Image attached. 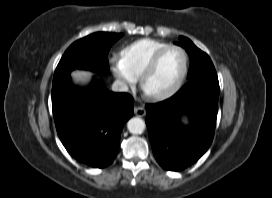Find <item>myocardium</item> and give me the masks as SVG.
Listing matches in <instances>:
<instances>
[{
	"instance_id": "1",
	"label": "myocardium",
	"mask_w": 272,
	"mask_h": 198,
	"mask_svg": "<svg viewBox=\"0 0 272 198\" xmlns=\"http://www.w3.org/2000/svg\"><path fill=\"white\" fill-rule=\"evenodd\" d=\"M171 49H177L183 54L184 65H183V71H182V74H181L179 80L171 89H169L165 92L156 93V94L147 93L144 89V84H145L146 79L156 69V67L158 66L163 55ZM188 70H189V57H188L186 50L179 45H167L166 47L161 48L159 51H157L154 54V56L151 58V60L148 62V64L146 65V67L142 71L140 78H139L140 89L142 90L143 94L148 99H151V100H164V99L170 98L173 95H175L182 88V86L187 78Z\"/></svg>"
}]
</instances>
